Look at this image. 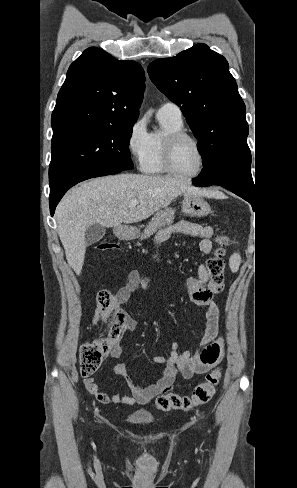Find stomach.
Wrapping results in <instances>:
<instances>
[{"label": "stomach", "instance_id": "0dacf381", "mask_svg": "<svg viewBox=\"0 0 297 488\" xmlns=\"http://www.w3.org/2000/svg\"><path fill=\"white\" fill-rule=\"evenodd\" d=\"M182 212L190 217H205L211 213L210 205L202 196L194 193H184ZM115 234L122 239H135L139 236V230L134 227L120 226L115 229Z\"/></svg>", "mask_w": 297, "mask_h": 488}]
</instances>
